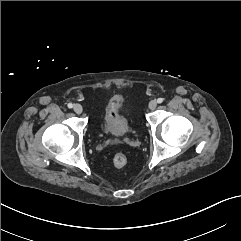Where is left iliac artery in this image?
I'll use <instances>...</instances> for the list:
<instances>
[{
  "instance_id": "1",
  "label": "left iliac artery",
  "mask_w": 241,
  "mask_h": 241,
  "mask_svg": "<svg viewBox=\"0 0 241 241\" xmlns=\"http://www.w3.org/2000/svg\"><path fill=\"white\" fill-rule=\"evenodd\" d=\"M162 102H163V98H158V99H157V103L160 104V103H162Z\"/></svg>"
}]
</instances>
